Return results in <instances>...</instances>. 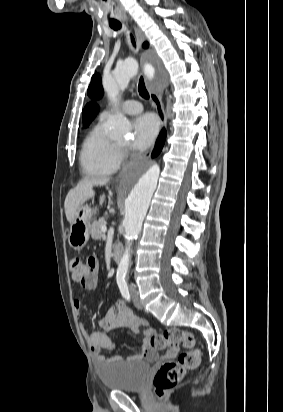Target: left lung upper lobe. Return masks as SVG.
<instances>
[{"label": "left lung upper lobe", "mask_w": 283, "mask_h": 412, "mask_svg": "<svg viewBox=\"0 0 283 412\" xmlns=\"http://www.w3.org/2000/svg\"><path fill=\"white\" fill-rule=\"evenodd\" d=\"M143 46L145 48L148 47V43H144ZM87 94L90 98L96 100L102 97L103 89L100 83V76L94 75L91 79V83L89 85ZM98 110V106L94 103H89L85 106L83 111V123L87 126L90 121L95 117Z\"/></svg>", "instance_id": "5c2ea615"}]
</instances>
